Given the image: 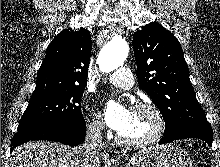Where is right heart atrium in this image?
I'll return each mask as SVG.
<instances>
[{"instance_id": "right-heart-atrium-1", "label": "right heart atrium", "mask_w": 220, "mask_h": 167, "mask_svg": "<svg viewBox=\"0 0 220 167\" xmlns=\"http://www.w3.org/2000/svg\"><path fill=\"white\" fill-rule=\"evenodd\" d=\"M86 129L90 135L99 136L104 130L102 118L96 112H91L86 120Z\"/></svg>"}]
</instances>
